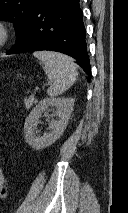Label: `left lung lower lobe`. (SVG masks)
Listing matches in <instances>:
<instances>
[{"instance_id": "1", "label": "left lung lower lobe", "mask_w": 128, "mask_h": 213, "mask_svg": "<svg viewBox=\"0 0 128 213\" xmlns=\"http://www.w3.org/2000/svg\"><path fill=\"white\" fill-rule=\"evenodd\" d=\"M86 32L79 0H38L31 16L7 54L51 50L78 60L90 76Z\"/></svg>"}]
</instances>
